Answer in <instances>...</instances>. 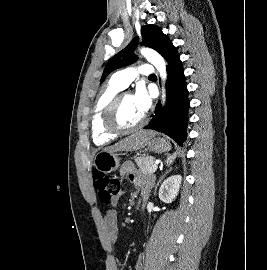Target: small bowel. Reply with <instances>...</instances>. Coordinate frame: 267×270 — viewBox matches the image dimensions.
I'll list each match as a JSON object with an SVG mask.
<instances>
[{
	"instance_id": "small-bowel-1",
	"label": "small bowel",
	"mask_w": 267,
	"mask_h": 270,
	"mask_svg": "<svg viewBox=\"0 0 267 270\" xmlns=\"http://www.w3.org/2000/svg\"><path fill=\"white\" fill-rule=\"evenodd\" d=\"M120 175L123 178L129 179L139 189V196L145 199L149 193L151 187V181L147 178L140 176L132 164H125L120 170ZM118 197L112 200V204H117ZM104 224L106 228V234L108 242L111 245H115L118 241V214L115 209H109L104 216ZM141 256L137 262V267L140 265Z\"/></svg>"
}]
</instances>
